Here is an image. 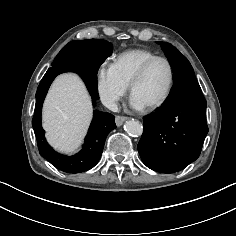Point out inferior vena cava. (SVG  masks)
<instances>
[{
  "label": "inferior vena cava",
  "mask_w": 236,
  "mask_h": 236,
  "mask_svg": "<svg viewBox=\"0 0 236 236\" xmlns=\"http://www.w3.org/2000/svg\"><path fill=\"white\" fill-rule=\"evenodd\" d=\"M103 104L111 111L113 112H118L119 108L118 105L116 104V101L114 98H106L103 100Z\"/></svg>",
  "instance_id": "inferior-vena-cava-1"
}]
</instances>
